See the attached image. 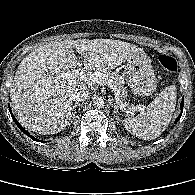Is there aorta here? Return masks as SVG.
<instances>
[{"instance_id": "1", "label": "aorta", "mask_w": 195, "mask_h": 195, "mask_svg": "<svg viewBox=\"0 0 195 195\" xmlns=\"http://www.w3.org/2000/svg\"><path fill=\"white\" fill-rule=\"evenodd\" d=\"M104 104V100L101 97L96 98L93 102L95 108H102Z\"/></svg>"}]
</instances>
